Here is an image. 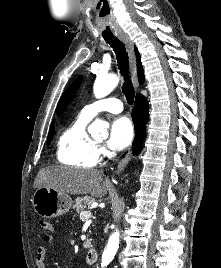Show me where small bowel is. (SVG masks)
<instances>
[{
  "label": "small bowel",
  "mask_w": 221,
  "mask_h": 268,
  "mask_svg": "<svg viewBox=\"0 0 221 268\" xmlns=\"http://www.w3.org/2000/svg\"><path fill=\"white\" fill-rule=\"evenodd\" d=\"M53 228L50 232H46L43 235V242L45 244L51 243L54 240V235H53ZM46 255H47V248L45 245H40L37 248L36 251V265L37 268H46Z\"/></svg>",
  "instance_id": "obj_1"
}]
</instances>
